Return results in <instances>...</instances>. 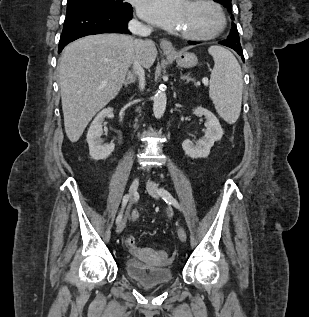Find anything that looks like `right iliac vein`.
Returning <instances> with one entry per match:
<instances>
[{
    "instance_id": "63e3f726",
    "label": "right iliac vein",
    "mask_w": 309,
    "mask_h": 317,
    "mask_svg": "<svg viewBox=\"0 0 309 317\" xmlns=\"http://www.w3.org/2000/svg\"><path fill=\"white\" fill-rule=\"evenodd\" d=\"M138 185H139V180L138 178H135L131 185H130V189H129V196H130V202L133 201L136 193H137V189H138ZM126 226V217L123 218L117 225V228H116V232L119 234L121 233L124 228Z\"/></svg>"
}]
</instances>
